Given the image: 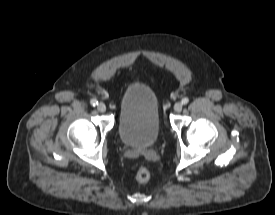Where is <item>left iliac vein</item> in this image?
<instances>
[{"label": "left iliac vein", "instance_id": "1", "mask_svg": "<svg viewBox=\"0 0 275 215\" xmlns=\"http://www.w3.org/2000/svg\"><path fill=\"white\" fill-rule=\"evenodd\" d=\"M182 107H183L182 103L178 102L174 105V111L180 112L182 110Z\"/></svg>", "mask_w": 275, "mask_h": 215}]
</instances>
